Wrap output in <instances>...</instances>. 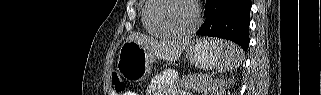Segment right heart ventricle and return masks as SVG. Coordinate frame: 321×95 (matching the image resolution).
Listing matches in <instances>:
<instances>
[{"instance_id": "obj_1", "label": "right heart ventricle", "mask_w": 321, "mask_h": 95, "mask_svg": "<svg viewBox=\"0 0 321 95\" xmlns=\"http://www.w3.org/2000/svg\"><path fill=\"white\" fill-rule=\"evenodd\" d=\"M151 5V1H145L143 9H142V24L144 26V28L146 29V31L152 35L155 36H164V34L160 33L159 31H157L149 22L148 20V9Z\"/></svg>"}]
</instances>
